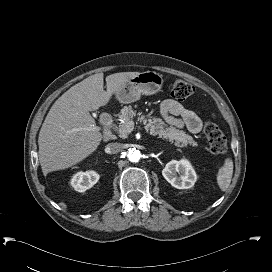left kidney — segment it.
<instances>
[{"label":"left kidney","mask_w":272,"mask_h":272,"mask_svg":"<svg viewBox=\"0 0 272 272\" xmlns=\"http://www.w3.org/2000/svg\"><path fill=\"white\" fill-rule=\"evenodd\" d=\"M162 175L177 189H190L197 180L196 172L187 159L168 162L162 170Z\"/></svg>","instance_id":"left-kidney-1"}]
</instances>
